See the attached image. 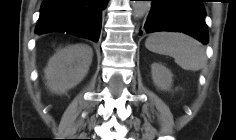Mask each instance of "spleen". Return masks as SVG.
Wrapping results in <instances>:
<instances>
[{
    "label": "spleen",
    "mask_w": 236,
    "mask_h": 140,
    "mask_svg": "<svg viewBox=\"0 0 236 140\" xmlns=\"http://www.w3.org/2000/svg\"><path fill=\"white\" fill-rule=\"evenodd\" d=\"M145 46L154 53L173 57L184 70L198 71L207 62L202 44L183 33H153L146 39Z\"/></svg>",
    "instance_id": "obj_1"
}]
</instances>
